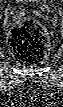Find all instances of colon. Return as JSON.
I'll return each instance as SVG.
<instances>
[{
	"label": "colon",
	"mask_w": 63,
	"mask_h": 107,
	"mask_svg": "<svg viewBox=\"0 0 63 107\" xmlns=\"http://www.w3.org/2000/svg\"><path fill=\"white\" fill-rule=\"evenodd\" d=\"M9 45L14 57L21 64H38L48 52V33L41 23L26 21L12 29Z\"/></svg>",
	"instance_id": "1"
}]
</instances>
